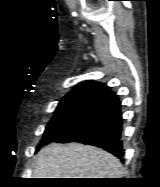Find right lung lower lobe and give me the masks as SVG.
<instances>
[{"mask_svg":"<svg viewBox=\"0 0 160 187\" xmlns=\"http://www.w3.org/2000/svg\"><path fill=\"white\" fill-rule=\"evenodd\" d=\"M121 103L117 95L98 104L93 113L71 132L55 142L94 145L123 160Z\"/></svg>","mask_w":160,"mask_h":187,"instance_id":"1","label":"right lung lower lobe"}]
</instances>
